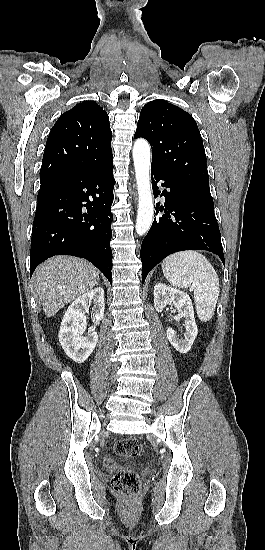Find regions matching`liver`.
Returning <instances> with one entry per match:
<instances>
[{
    "mask_svg": "<svg viewBox=\"0 0 265 550\" xmlns=\"http://www.w3.org/2000/svg\"><path fill=\"white\" fill-rule=\"evenodd\" d=\"M99 271L84 259L55 256L35 271L34 285L47 317L98 284Z\"/></svg>",
    "mask_w": 265,
    "mask_h": 550,
    "instance_id": "6515ba94",
    "label": "liver"
}]
</instances>
